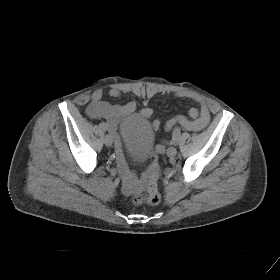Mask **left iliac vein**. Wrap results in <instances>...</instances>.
I'll use <instances>...</instances> for the list:
<instances>
[{
	"instance_id": "obj_1",
	"label": "left iliac vein",
	"mask_w": 280,
	"mask_h": 280,
	"mask_svg": "<svg viewBox=\"0 0 280 280\" xmlns=\"http://www.w3.org/2000/svg\"><path fill=\"white\" fill-rule=\"evenodd\" d=\"M177 154V150L175 147H169L168 150H167V155L170 157V158H173L175 157Z\"/></svg>"
}]
</instances>
